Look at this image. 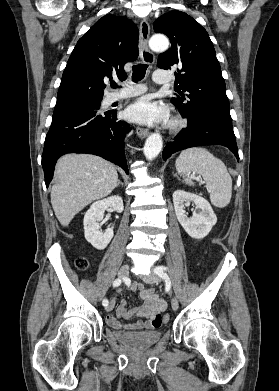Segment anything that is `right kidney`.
Segmentation results:
<instances>
[{
    "instance_id": "1",
    "label": "right kidney",
    "mask_w": 279,
    "mask_h": 391,
    "mask_svg": "<svg viewBox=\"0 0 279 391\" xmlns=\"http://www.w3.org/2000/svg\"><path fill=\"white\" fill-rule=\"evenodd\" d=\"M109 207L118 213L124 210L123 200L119 195L110 196L103 200L94 202L84 216V235L86 240L98 250L107 247L113 238V227L107 228L103 233L100 231L99 222L103 219L104 212Z\"/></svg>"
}]
</instances>
